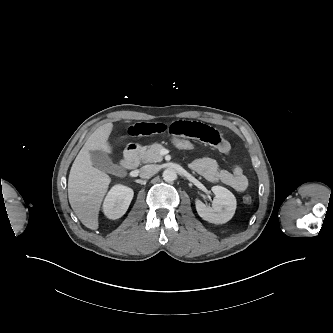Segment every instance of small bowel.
I'll list each match as a JSON object with an SVG mask.
<instances>
[{"label":"small bowel","mask_w":333,"mask_h":333,"mask_svg":"<svg viewBox=\"0 0 333 333\" xmlns=\"http://www.w3.org/2000/svg\"><path fill=\"white\" fill-rule=\"evenodd\" d=\"M131 136L141 137L157 134L187 137L215 147L220 153L228 154L231 146L225 137L215 128L200 122L176 120L139 122L128 127ZM190 167L210 182H222L238 192L248 187V178L241 166L235 165L231 170L220 169L215 159L203 157L194 160Z\"/></svg>","instance_id":"c3829d8e"}]
</instances>
